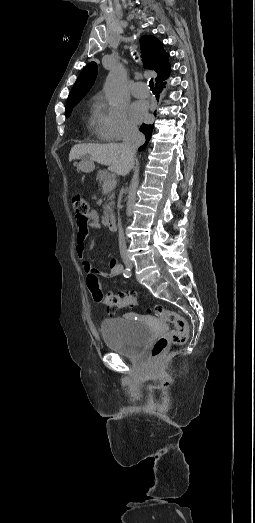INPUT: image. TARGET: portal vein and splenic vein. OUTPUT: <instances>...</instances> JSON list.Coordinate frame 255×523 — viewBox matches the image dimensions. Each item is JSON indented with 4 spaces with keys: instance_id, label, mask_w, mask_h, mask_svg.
Instances as JSON below:
<instances>
[{
    "instance_id": "portal-vein-and-splenic-vein-1",
    "label": "portal vein and splenic vein",
    "mask_w": 255,
    "mask_h": 523,
    "mask_svg": "<svg viewBox=\"0 0 255 523\" xmlns=\"http://www.w3.org/2000/svg\"><path fill=\"white\" fill-rule=\"evenodd\" d=\"M116 182L115 180H110V182H104V186H102L103 191L106 190H112L114 188ZM103 195H106V192H103Z\"/></svg>"
}]
</instances>
